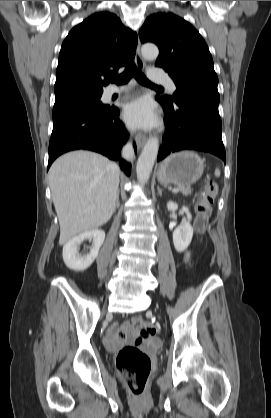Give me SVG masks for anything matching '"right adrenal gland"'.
<instances>
[{"instance_id":"1","label":"right adrenal gland","mask_w":271,"mask_h":418,"mask_svg":"<svg viewBox=\"0 0 271 418\" xmlns=\"http://www.w3.org/2000/svg\"><path fill=\"white\" fill-rule=\"evenodd\" d=\"M120 207V202H119V191L117 193V197H116V208Z\"/></svg>"}]
</instances>
